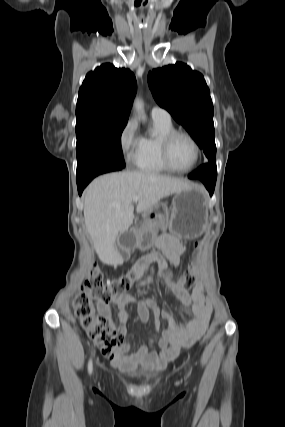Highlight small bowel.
I'll return each mask as SVG.
<instances>
[{
  "label": "small bowel",
  "mask_w": 285,
  "mask_h": 427,
  "mask_svg": "<svg viewBox=\"0 0 285 427\" xmlns=\"http://www.w3.org/2000/svg\"><path fill=\"white\" fill-rule=\"evenodd\" d=\"M156 247L157 251L151 252L134 264L132 269L134 286L143 287L153 284L151 279L143 278L145 266L149 263L158 262L162 271L167 273L165 258L178 266L181 256L185 253L184 245L175 234L160 235L156 240ZM166 281L169 294L183 306L191 307L193 319L185 325H179L175 317L162 311L152 298L139 300L129 293L115 297L112 303L117 310V319L112 316L109 304L96 303L98 313L122 338L128 333L126 323L129 315L125 310L128 304H136L139 318L144 323L149 321L150 312L153 314L154 332L148 340V345L131 346L128 343H121L113 353L104 352L117 367L127 371L137 367L145 370H161L179 355L181 349L191 347L205 333L212 305L205 293L204 285L198 283L190 294L172 276L167 275ZM160 318L167 322L161 335L159 334ZM149 345H157L159 350L150 351Z\"/></svg>",
  "instance_id": "obj_1"
}]
</instances>
